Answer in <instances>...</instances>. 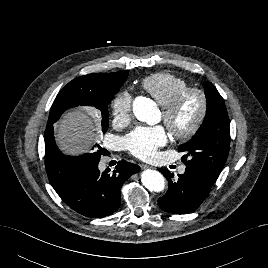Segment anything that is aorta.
<instances>
[{"mask_svg": "<svg viewBox=\"0 0 268 268\" xmlns=\"http://www.w3.org/2000/svg\"><path fill=\"white\" fill-rule=\"evenodd\" d=\"M135 117L141 121L153 125L159 121V112L152 100L146 97H137L133 103ZM141 182L150 191L160 192L165 187L163 175L152 169L141 173Z\"/></svg>", "mask_w": 268, "mask_h": 268, "instance_id": "obj_1", "label": "aorta"}]
</instances>
